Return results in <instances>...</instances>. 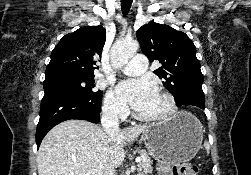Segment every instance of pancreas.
Wrapping results in <instances>:
<instances>
[{"mask_svg":"<svg viewBox=\"0 0 251 175\" xmlns=\"http://www.w3.org/2000/svg\"><path fill=\"white\" fill-rule=\"evenodd\" d=\"M140 161L138 163V169H140L141 173H138V175H145V173H151L153 171L152 167V159L150 155H148L147 151L145 149H140Z\"/></svg>","mask_w":251,"mask_h":175,"instance_id":"1","label":"pancreas"}]
</instances>
